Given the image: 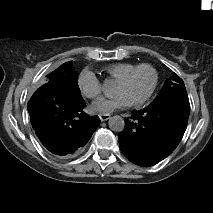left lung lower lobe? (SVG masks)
Segmentation results:
<instances>
[{
	"instance_id": "0a47b994",
	"label": "left lung lower lobe",
	"mask_w": 213,
	"mask_h": 213,
	"mask_svg": "<svg viewBox=\"0 0 213 213\" xmlns=\"http://www.w3.org/2000/svg\"><path fill=\"white\" fill-rule=\"evenodd\" d=\"M189 111L175 103L148 106L125 118L118 140L131 162L151 166L167 157L179 144L187 127Z\"/></svg>"
}]
</instances>
